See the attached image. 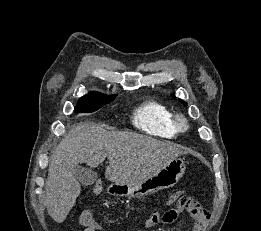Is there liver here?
<instances>
[{
	"label": "liver",
	"instance_id": "6515ba94",
	"mask_svg": "<svg viewBox=\"0 0 261 231\" xmlns=\"http://www.w3.org/2000/svg\"><path fill=\"white\" fill-rule=\"evenodd\" d=\"M186 153L181 146L170 142L133 132L107 131L93 122L79 123L50 156L45 185L48 214L57 223L66 219L81 191L74 176L81 163L96 168L108 158L105 177L123 185L144 180Z\"/></svg>",
	"mask_w": 261,
	"mask_h": 231
}]
</instances>
